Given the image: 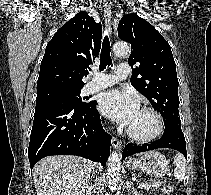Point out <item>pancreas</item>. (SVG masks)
Listing matches in <instances>:
<instances>
[{
    "instance_id": "cf45deb5",
    "label": "pancreas",
    "mask_w": 211,
    "mask_h": 195,
    "mask_svg": "<svg viewBox=\"0 0 211 195\" xmlns=\"http://www.w3.org/2000/svg\"><path fill=\"white\" fill-rule=\"evenodd\" d=\"M163 182H155V183H152V184H147L148 186L145 187L147 190L148 189H158L160 188V186H162Z\"/></svg>"
}]
</instances>
